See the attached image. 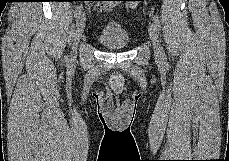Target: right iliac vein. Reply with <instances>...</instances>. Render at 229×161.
Instances as JSON below:
<instances>
[{"instance_id": "right-iliac-vein-1", "label": "right iliac vein", "mask_w": 229, "mask_h": 161, "mask_svg": "<svg viewBox=\"0 0 229 161\" xmlns=\"http://www.w3.org/2000/svg\"><path fill=\"white\" fill-rule=\"evenodd\" d=\"M85 29V17H82L80 20L77 22V27L74 35V44H73V49L70 54V60L74 61L76 58V50H77V45L83 35Z\"/></svg>"}]
</instances>
